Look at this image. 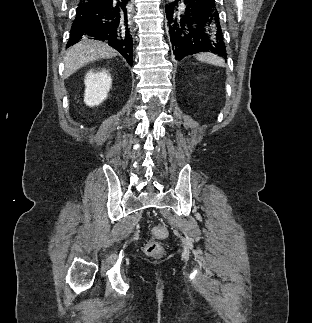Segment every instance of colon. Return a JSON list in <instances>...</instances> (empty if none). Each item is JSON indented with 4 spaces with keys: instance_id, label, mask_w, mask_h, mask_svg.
Instances as JSON below:
<instances>
[{
    "instance_id": "colon-1",
    "label": "colon",
    "mask_w": 312,
    "mask_h": 323,
    "mask_svg": "<svg viewBox=\"0 0 312 323\" xmlns=\"http://www.w3.org/2000/svg\"><path fill=\"white\" fill-rule=\"evenodd\" d=\"M165 234H166V230L164 226H158V228H154L152 230V238L164 236ZM144 251L149 256L157 257L161 255L162 248L158 242L151 239L146 242Z\"/></svg>"
}]
</instances>
